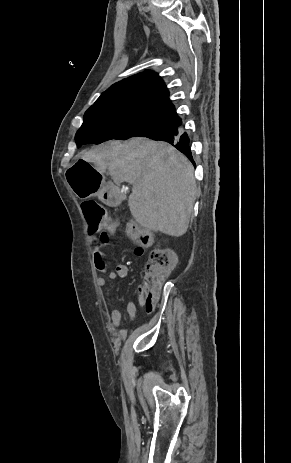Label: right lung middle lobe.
<instances>
[{"mask_svg": "<svg viewBox=\"0 0 291 463\" xmlns=\"http://www.w3.org/2000/svg\"><path fill=\"white\" fill-rule=\"evenodd\" d=\"M168 126L166 120L149 115L88 109L84 115V122L75 135V141L77 147H80L112 139L145 137Z\"/></svg>", "mask_w": 291, "mask_h": 463, "instance_id": "obj_1", "label": "right lung middle lobe"}]
</instances>
